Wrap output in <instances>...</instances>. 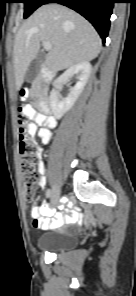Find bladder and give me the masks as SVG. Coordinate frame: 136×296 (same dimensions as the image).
<instances>
[{"label": "bladder", "mask_w": 136, "mask_h": 296, "mask_svg": "<svg viewBox=\"0 0 136 296\" xmlns=\"http://www.w3.org/2000/svg\"><path fill=\"white\" fill-rule=\"evenodd\" d=\"M77 242L75 234L70 232L50 233L43 235L38 240V249L40 251L55 252L62 249H68Z\"/></svg>", "instance_id": "31cf9c89"}]
</instances>
